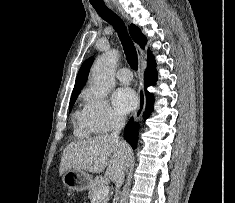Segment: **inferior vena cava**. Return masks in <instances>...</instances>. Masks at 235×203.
I'll list each match as a JSON object with an SVG mask.
<instances>
[{
	"label": "inferior vena cava",
	"instance_id": "602c4592",
	"mask_svg": "<svg viewBox=\"0 0 235 203\" xmlns=\"http://www.w3.org/2000/svg\"><path fill=\"white\" fill-rule=\"evenodd\" d=\"M125 123H126V118L124 116L116 115L114 117V128H113V131L110 135L111 138H113L115 140H119L120 131L125 126ZM123 181H124V172L121 174L119 179L116 181V193H118L120 187L123 184Z\"/></svg>",
	"mask_w": 235,
	"mask_h": 203
}]
</instances>
